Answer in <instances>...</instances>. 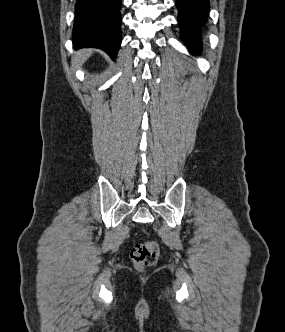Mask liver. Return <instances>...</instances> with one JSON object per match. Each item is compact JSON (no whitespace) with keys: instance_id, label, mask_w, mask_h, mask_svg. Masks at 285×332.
Listing matches in <instances>:
<instances>
[{"instance_id":"1","label":"liver","mask_w":285,"mask_h":332,"mask_svg":"<svg viewBox=\"0 0 285 332\" xmlns=\"http://www.w3.org/2000/svg\"><path fill=\"white\" fill-rule=\"evenodd\" d=\"M92 54V50L90 49H84L79 52H77V55L75 57V63L78 66H82V64L90 57Z\"/></svg>"}]
</instances>
